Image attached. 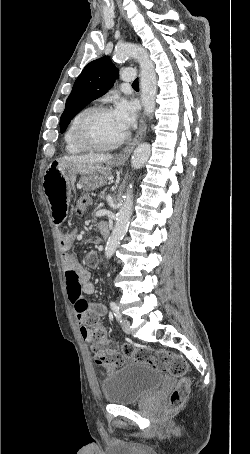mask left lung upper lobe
<instances>
[{
	"label": "left lung upper lobe",
	"instance_id": "1",
	"mask_svg": "<svg viewBox=\"0 0 250 454\" xmlns=\"http://www.w3.org/2000/svg\"><path fill=\"white\" fill-rule=\"evenodd\" d=\"M118 70L108 56L87 64L76 79L60 119L63 133L71 119L86 105L102 96L113 86Z\"/></svg>",
	"mask_w": 250,
	"mask_h": 454
}]
</instances>
